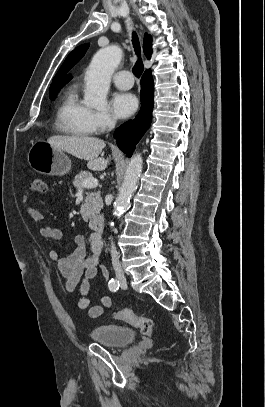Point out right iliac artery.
I'll use <instances>...</instances> for the list:
<instances>
[{
	"label": "right iliac artery",
	"mask_w": 265,
	"mask_h": 407,
	"mask_svg": "<svg viewBox=\"0 0 265 407\" xmlns=\"http://www.w3.org/2000/svg\"><path fill=\"white\" fill-rule=\"evenodd\" d=\"M108 286H109L110 291L116 292V291L119 289L120 284H119L118 281H116V280H114V279H111V280L109 281Z\"/></svg>",
	"instance_id": "obj_1"
}]
</instances>
